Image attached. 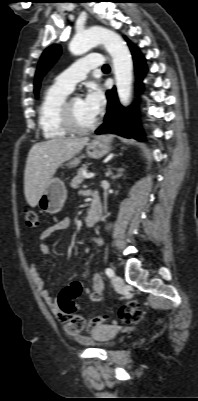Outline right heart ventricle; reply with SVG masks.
Segmentation results:
<instances>
[{
  "instance_id": "1",
  "label": "right heart ventricle",
  "mask_w": 198,
  "mask_h": 401,
  "mask_svg": "<svg viewBox=\"0 0 198 401\" xmlns=\"http://www.w3.org/2000/svg\"><path fill=\"white\" fill-rule=\"evenodd\" d=\"M70 91L53 84L49 86L39 105L38 122L42 135L46 139H61L69 132L60 120L61 107Z\"/></svg>"
}]
</instances>
